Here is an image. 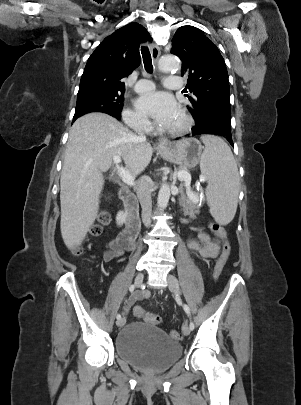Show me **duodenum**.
Masks as SVG:
<instances>
[{"instance_id":"obj_1","label":"duodenum","mask_w":301,"mask_h":405,"mask_svg":"<svg viewBox=\"0 0 301 405\" xmlns=\"http://www.w3.org/2000/svg\"><path fill=\"white\" fill-rule=\"evenodd\" d=\"M119 195L126 211L125 228L120 234V240L126 250H132L139 229V220L136 215L137 201L132 190L127 187L121 188ZM109 204L114 208L118 203L113 199Z\"/></svg>"}]
</instances>
